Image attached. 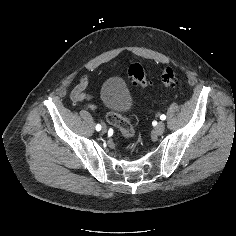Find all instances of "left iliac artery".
I'll use <instances>...</instances> for the list:
<instances>
[{"label":"left iliac artery","instance_id":"44dca946","mask_svg":"<svg viewBox=\"0 0 236 236\" xmlns=\"http://www.w3.org/2000/svg\"><path fill=\"white\" fill-rule=\"evenodd\" d=\"M160 119H161V120H165V119H166V116H165L164 114H162V115L160 116Z\"/></svg>","mask_w":236,"mask_h":236}]
</instances>
